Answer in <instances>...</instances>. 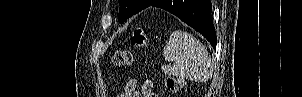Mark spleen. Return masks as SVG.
<instances>
[{
  "mask_svg": "<svg viewBox=\"0 0 302 97\" xmlns=\"http://www.w3.org/2000/svg\"><path fill=\"white\" fill-rule=\"evenodd\" d=\"M163 56L172 62L162 67L168 75L195 82H205L212 76L213 62L207 49L190 33L174 31L163 49Z\"/></svg>",
  "mask_w": 302,
  "mask_h": 97,
  "instance_id": "spleen-1",
  "label": "spleen"
}]
</instances>
